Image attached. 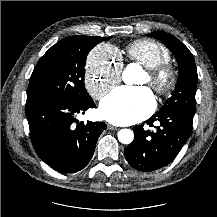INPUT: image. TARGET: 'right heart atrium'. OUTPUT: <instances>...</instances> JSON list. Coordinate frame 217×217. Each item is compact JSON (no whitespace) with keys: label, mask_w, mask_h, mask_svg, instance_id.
<instances>
[{"label":"right heart atrium","mask_w":217,"mask_h":217,"mask_svg":"<svg viewBox=\"0 0 217 217\" xmlns=\"http://www.w3.org/2000/svg\"><path fill=\"white\" fill-rule=\"evenodd\" d=\"M122 62L115 47L100 44L87 57L84 82L90 95L100 100L120 80Z\"/></svg>","instance_id":"obj_1"}]
</instances>
